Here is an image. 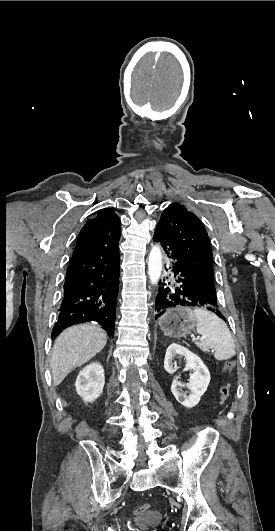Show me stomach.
<instances>
[{
  "label": "stomach",
  "instance_id": "obj_1",
  "mask_svg": "<svg viewBox=\"0 0 275 531\" xmlns=\"http://www.w3.org/2000/svg\"><path fill=\"white\" fill-rule=\"evenodd\" d=\"M190 304L184 303L179 309H170L160 317L158 323L167 337H186L197 325L196 317L190 315Z\"/></svg>",
  "mask_w": 275,
  "mask_h": 531
}]
</instances>
